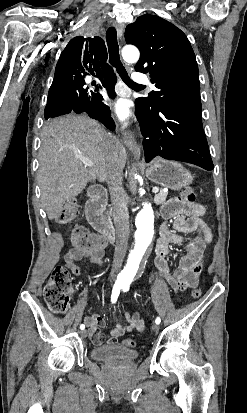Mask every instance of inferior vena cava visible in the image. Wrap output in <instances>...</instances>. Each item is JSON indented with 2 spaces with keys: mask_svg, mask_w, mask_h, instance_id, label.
Instances as JSON below:
<instances>
[{
  "mask_svg": "<svg viewBox=\"0 0 247 413\" xmlns=\"http://www.w3.org/2000/svg\"><path fill=\"white\" fill-rule=\"evenodd\" d=\"M110 142L114 144V150H118L122 142L117 136L109 134ZM111 196L112 209L114 213V225L116 229V247L110 273L111 281H114L116 273L120 271L121 265L124 261L125 253L127 251L129 229V213H128V196L123 188V170L115 160L108 168V176L106 180Z\"/></svg>",
  "mask_w": 247,
  "mask_h": 413,
  "instance_id": "1",
  "label": "inferior vena cava"
}]
</instances>
